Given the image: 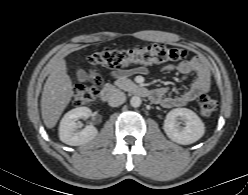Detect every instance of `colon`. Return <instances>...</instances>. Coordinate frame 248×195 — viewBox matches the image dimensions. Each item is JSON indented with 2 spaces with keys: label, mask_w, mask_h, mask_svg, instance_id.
Returning a JSON list of instances; mask_svg holds the SVG:
<instances>
[{
  "label": "colon",
  "mask_w": 248,
  "mask_h": 195,
  "mask_svg": "<svg viewBox=\"0 0 248 195\" xmlns=\"http://www.w3.org/2000/svg\"><path fill=\"white\" fill-rule=\"evenodd\" d=\"M188 51L183 48L169 47L164 44H152L125 49L105 48L88 58L93 67L121 69L129 66H152L184 59ZM102 84L100 77L95 76L90 83L79 85L73 94L75 105L90 104L96 97ZM217 109V102L210 96L203 95L198 101L199 114L203 118L210 117Z\"/></svg>",
  "instance_id": "5ec220e1"
}]
</instances>
